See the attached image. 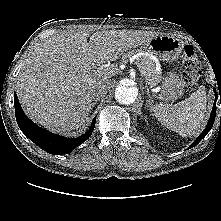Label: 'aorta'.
I'll return each mask as SVG.
<instances>
[{
  "label": "aorta",
  "mask_w": 221,
  "mask_h": 221,
  "mask_svg": "<svg viewBox=\"0 0 221 221\" xmlns=\"http://www.w3.org/2000/svg\"><path fill=\"white\" fill-rule=\"evenodd\" d=\"M137 96L138 89L136 87H128L120 84L115 89V99L121 104H132Z\"/></svg>",
  "instance_id": "aorta-1"
}]
</instances>
